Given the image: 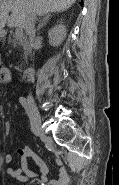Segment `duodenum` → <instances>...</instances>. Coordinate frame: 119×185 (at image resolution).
Here are the masks:
<instances>
[{
	"label": "duodenum",
	"instance_id": "duodenum-1",
	"mask_svg": "<svg viewBox=\"0 0 119 185\" xmlns=\"http://www.w3.org/2000/svg\"><path fill=\"white\" fill-rule=\"evenodd\" d=\"M35 69L34 68H25L22 70V78L26 81L31 80L34 77Z\"/></svg>",
	"mask_w": 119,
	"mask_h": 185
}]
</instances>
